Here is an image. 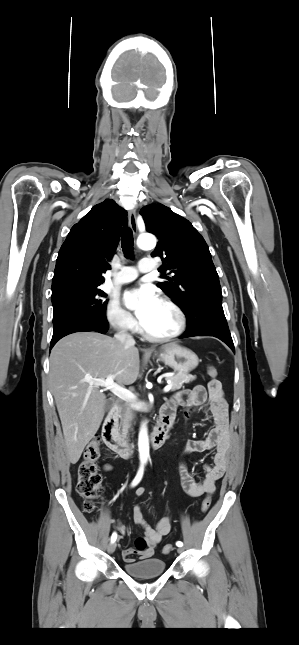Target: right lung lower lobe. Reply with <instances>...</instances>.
Segmentation results:
<instances>
[{"instance_id":"1","label":"right lung lower lobe","mask_w":299,"mask_h":645,"mask_svg":"<svg viewBox=\"0 0 299 645\" xmlns=\"http://www.w3.org/2000/svg\"><path fill=\"white\" fill-rule=\"evenodd\" d=\"M108 330V322H101L93 319H85L68 325L67 327L61 329L60 331L53 333L51 340L50 349L56 344L58 340L62 337L82 331H96L99 333H106Z\"/></svg>"}]
</instances>
